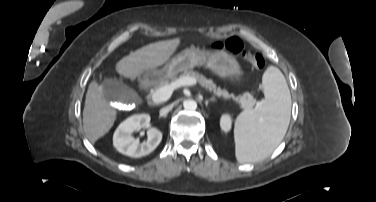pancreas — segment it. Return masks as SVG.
Returning a JSON list of instances; mask_svg holds the SVG:
<instances>
[{"label":"pancreas","mask_w":376,"mask_h":202,"mask_svg":"<svg viewBox=\"0 0 376 202\" xmlns=\"http://www.w3.org/2000/svg\"><path fill=\"white\" fill-rule=\"evenodd\" d=\"M183 77H192L194 78L202 87L207 89L210 92H213L218 97H223L225 99H232L236 103L240 105V108L242 109H252L256 105V100L252 98L251 96L246 97L245 94L242 96L235 97L233 94H229L227 90H222L220 87H216V85L213 83L212 80H208L205 76L200 75L199 73L189 70L185 71L183 74H181L179 77L170 79L167 77H160L157 81H155L152 85L153 88L150 90L151 94L155 92L157 89L170 85L173 82L177 81L180 78Z\"/></svg>","instance_id":"1"}]
</instances>
